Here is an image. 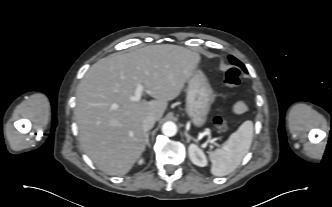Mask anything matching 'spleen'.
I'll use <instances>...</instances> for the list:
<instances>
[{
	"mask_svg": "<svg viewBox=\"0 0 332 207\" xmlns=\"http://www.w3.org/2000/svg\"><path fill=\"white\" fill-rule=\"evenodd\" d=\"M253 138V123L245 121L232 133L220 149L209 152L211 173L225 176L233 172L250 149Z\"/></svg>",
	"mask_w": 332,
	"mask_h": 207,
	"instance_id": "obj_1",
	"label": "spleen"
}]
</instances>
